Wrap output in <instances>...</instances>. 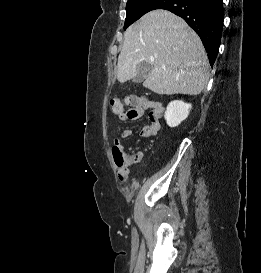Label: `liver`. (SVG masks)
I'll use <instances>...</instances> for the list:
<instances>
[{"instance_id": "1", "label": "liver", "mask_w": 261, "mask_h": 273, "mask_svg": "<svg viewBox=\"0 0 261 273\" xmlns=\"http://www.w3.org/2000/svg\"><path fill=\"white\" fill-rule=\"evenodd\" d=\"M118 57L120 83L134 78L140 63L153 66L143 86L160 95H198L209 81L207 54L199 36L177 15L146 13L125 32Z\"/></svg>"}]
</instances>
